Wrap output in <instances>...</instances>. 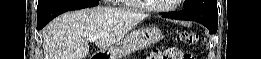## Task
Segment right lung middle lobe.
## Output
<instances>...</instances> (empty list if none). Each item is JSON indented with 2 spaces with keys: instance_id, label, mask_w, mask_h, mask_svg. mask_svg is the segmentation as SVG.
Here are the masks:
<instances>
[{
  "instance_id": "obj_1",
  "label": "right lung middle lobe",
  "mask_w": 261,
  "mask_h": 59,
  "mask_svg": "<svg viewBox=\"0 0 261 59\" xmlns=\"http://www.w3.org/2000/svg\"><path fill=\"white\" fill-rule=\"evenodd\" d=\"M56 0H38L37 12H40L48 5L52 4Z\"/></svg>"
}]
</instances>
